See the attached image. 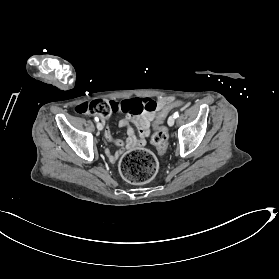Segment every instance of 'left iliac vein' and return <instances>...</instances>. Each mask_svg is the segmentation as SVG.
Listing matches in <instances>:
<instances>
[{"mask_svg":"<svg viewBox=\"0 0 279 279\" xmlns=\"http://www.w3.org/2000/svg\"><path fill=\"white\" fill-rule=\"evenodd\" d=\"M174 122H175L174 116H170V117L168 118V125H169V126H173V125H174Z\"/></svg>","mask_w":279,"mask_h":279,"instance_id":"obj_1","label":"left iliac vein"}]
</instances>
